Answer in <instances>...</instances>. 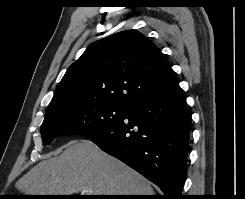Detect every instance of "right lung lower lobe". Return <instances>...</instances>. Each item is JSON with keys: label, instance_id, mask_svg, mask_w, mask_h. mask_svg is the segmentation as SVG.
<instances>
[{"label": "right lung lower lobe", "instance_id": "98d812e1", "mask_svg": "<svg viewBox=\"0 0 245 199\" xmlns=\"http://www.w3.org/2000/svg\"><path fill=\"white\" fill-rule=\"evenodd\" d=\"M190 131L191 114L177 85L129 107L118 122L89 139L156 184L164 199H182Z\"/></svg>", "mask_w": 245, "mask_h": 199}]
</instances>
